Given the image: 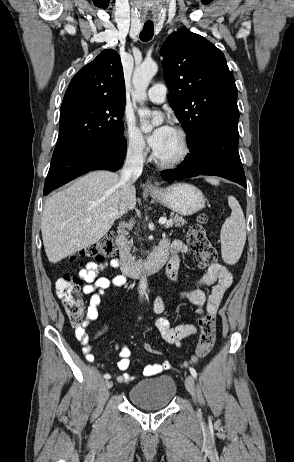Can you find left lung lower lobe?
Instances as JSON below:
<instances>
[{"label":"left lung lower lobe","instance_id":"1","mask_svg":"<svg viewBox=\"0 0 294 462\" xmlns=\"http://www.w3.org/2000/svg\"><path fill=\"white\" fill-rule=\"evenodd\" d=\"M239 111L233 110L211 123L204 134L189 149L181 166L174 170H164V180H178L198 175L220 176L243 187L246 186L244 169L237 150Z\"/></svg>","mask_w":294,"mask_h":462}]
</instances>
